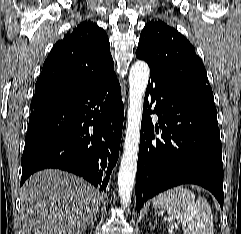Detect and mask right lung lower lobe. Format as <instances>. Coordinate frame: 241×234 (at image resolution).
Returning <instances> with one entry per match:
<instances>
[{
  "label": "right lung lower lobe",
  "instance_id": "obj_1",
  "mask_svg": "<svg viewBox=\"0 0 241 234\" xmlns=\"http://www.w3.org/2000/svg\"><path fill=\"white\" fill-rule=\"evenodd\" d=\"M31 108L20 185L34 172L58 168L105 192L124 118L116 74L86 90L32 102Z\"/></svg>",
  "mask_w": 241,
  "mask_h": 234
}]
</instances>
